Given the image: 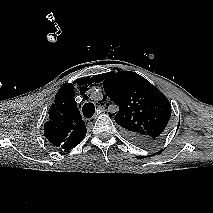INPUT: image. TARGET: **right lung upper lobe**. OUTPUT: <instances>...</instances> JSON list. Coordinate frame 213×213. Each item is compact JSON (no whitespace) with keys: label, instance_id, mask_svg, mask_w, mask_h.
I'll return each mask as SVG.
<instances>
[{"label":"right lung upper lobe","instance_id":"right-lung-upper-lobe-1","mask_svg":"<svg viewBox=\"0 0 213 213\" xmlns=\"http://www.w3.org/2000/svg\"><path fill=\"white\" fill-rule=\"evenodd\" d=\"M73 84L63 85L49 109V121L44 125V135L55 147L70 150L86 135V126L74 98Z\"/></svg>","mask_w":213,"mask_h":213}]
</instances>
